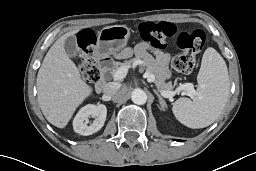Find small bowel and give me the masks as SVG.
I'll use <instances>...</instances> for the list:
<instances>
[{
    "label": "small bowel",
    "mask_w": 256,
    "mask_h": 171,
    "mask_svg": "<svg viewBox=\"0 0 256 171\" xmlns=\"http://www.w3.org/2000/svg\"><path fill=\"white\" fill-rule=\"evenodd\" d=\"M134 52L136 55L144 58L147 56L148 52H152L155 57V63L159 70V74L161 78H167L169 76V55L163 51L156 50L151 48L145 43H141L134 48Z\"/></svg>",
    "instance_id": "c3829d8e"
}]
</instances>
